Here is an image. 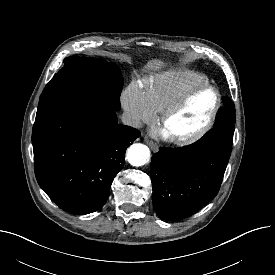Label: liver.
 I'll use <instances>...</instances> for the list:
<instances>
[{
    "instance_id": "liver-1",
    "label": "liver",
    "mask_w": 275,
    "mask_h": 275,
    "mask_svg": "<svg viewBox=\"0 0 275 275\" xmlns=\"http://www.w3.org/2000/svg\"><path fill=\"white\" fill-rule=\"evenodd\" d=\"M164 66V63L160 60H152L147 64V68L149 69H158Z\"/></svg>"
}]
</instances>
